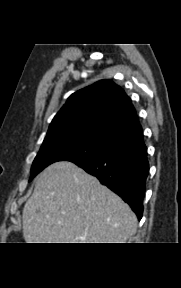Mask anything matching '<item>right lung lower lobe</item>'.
<instances>
[{"mask_svg":"<svg viewBox=\"0 0 181 288\" xmlns=\"http://www.w3.org/2000/svg\"><path fill=\"white\" fill-rule=\"evenodd\" d=\"M71 162L96 176L118 194L137 215L143 214V199L149 173L145 144L108 151L104 154L74 159Z\"/></svg>","mask_w":181,"mask_h":288,"instance_id":"obj_1","label":"right lung lower lobe"}]
</instances>
